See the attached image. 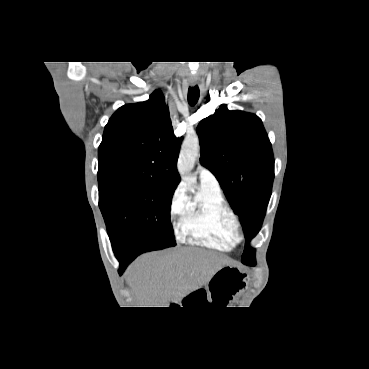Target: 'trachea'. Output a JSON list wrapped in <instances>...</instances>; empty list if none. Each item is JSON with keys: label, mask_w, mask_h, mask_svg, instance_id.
I'll return each mask as SVG.
<instances>
[{"label": "trachea", "mask_w": 369, "mask_h": 369, "mask_svg": "<svg viewBox=\"0 0 369 369\" xmlns=\"http://www.w3.org/2000/svg\"><path fill=\"white\" fill-rule=\"evenodd\" d=\"M200 91L198 86L189 87L188 90V102L191 106H194L199 99Z\"/></svg>", "instance_id": "trachea-1"}]
</instances>
